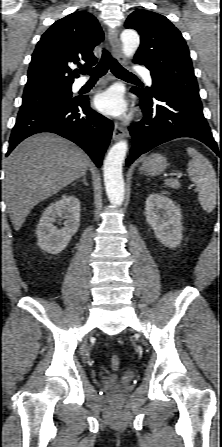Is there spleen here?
<instances>
[{"label":"spleen","instance_id":"obj_1","mask_svg":"<svg viewBox=\"0 0 222 447\" xmlns=\"http://www.w3.org/2000/svg\"><path fill=\"white\" fill-rule=\"evenodd\" d=\"M188 155L192 158L187 165V172L191 181L196 183L198 200L206 212H211L216 205L218 180L210 161L194 148H187ZM165 184L171 188H178L179 183L175 179L165 180Z\"/></svg>","mask_w":222,"mask_h":447}]
</instances>
